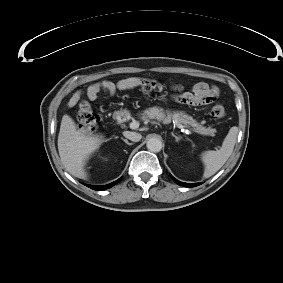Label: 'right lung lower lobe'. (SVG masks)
I'll use <instances>...</instances> for the list:
<instances>
[{
  "instance_id": "right-lung-lower-lobe-1",
  "label": "right lung lower lobe",
  "mask_w": 283,
  "mask_h": 283,
  "mask_svg": "<svg viewBox=\"0 0 283 283\" xmlns=\"http://www.w3.org/2000/svg\"><path fill=\"white\" fill-rule=\"evenodd\" d=\"M120 181V179L110 183V184H107V185H103V186H93V185H87L89 188L91 189H94V190H97V191H102V190H105V189H108L112 186H114L116 183H118Z\"/></svg>"
}]
</instances>
